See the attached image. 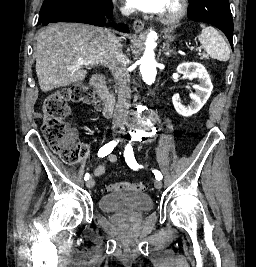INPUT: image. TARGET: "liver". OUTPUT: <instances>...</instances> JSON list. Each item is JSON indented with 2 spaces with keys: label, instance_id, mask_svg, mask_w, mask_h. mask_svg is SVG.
I'll use <instances>...</instances> for the list:
<instances>
[{
  "label": "liver",
  "instance_id": "obj_1",
  "mask_svg": "<svg viewBox=\"0 0 256 267\" xmlns=\"http://www.w3.org/2000/svg\"><path fill=\"white\" fill-rule=\"evenodd\" d=\"M109 34L108 30L89 24L63 22L40 30L36 74L42 92L82 82L87 74L85 64L109 68Z\"/></svg>",
  "mask_w": 256,
  "mask_h": 267
}]
</instances>
